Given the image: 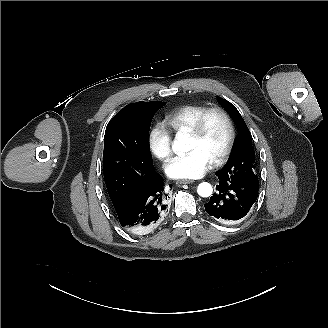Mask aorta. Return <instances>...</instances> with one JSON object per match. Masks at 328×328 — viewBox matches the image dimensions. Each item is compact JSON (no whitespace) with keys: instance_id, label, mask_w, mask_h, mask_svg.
<instances>
[{"instance_id":"1","label":"aorta","mask_w":328,"mask_h":328,"mask_svg":"<svg viewBox=\"0 0 328 328\" xmlns=\"http://www.w3.org/2000/svg\"><path fill=\"white\" fill-rule=\"evenodd\" d=\"M191 149L190 146V139L188 136L178 133L175 137V140L172 144V150L176 154H182L184 152H187ZM213 188L210 183L208 182H202L198 185L197 193L201 197H209L212 195Z\"/></svg>"}]
</instances>
